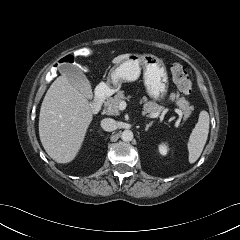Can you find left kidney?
I'll use <instances>...</instances> for the list:
<instances>
[{"label":"left kidney","mask_w":240,"mask_h":240,"mask_svg":"<svg viewBox=\"0 0 240 240\" xmlns=\"http://www.w3.org/2000/svg\"><path fill=\"white\" fill-rule=\"evenodd\" d=\"M158 148L161 155H167L169 148L166 143H161Z\"/></svg>","instance_id":"left-kidney-1"}]
</instances>
